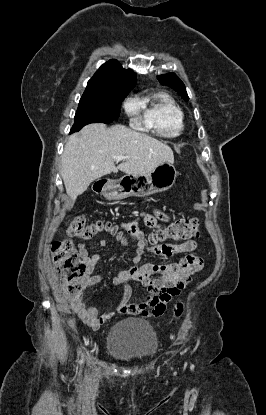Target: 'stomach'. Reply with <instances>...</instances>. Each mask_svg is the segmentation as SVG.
Listing matches in <instances>:
<instances>
[{
	"label": "stomach",
	"instance_id": "stomach-1",
	"mask_svg": "<svg viewBox=\"0 0 266 415\" xmlns=\"http://www.w3.org/2000/svg\"><path fill=\"white\" fill-rule=\"evenodd\" d=\"M177 172L173 163L164 162L144 175H125L118 181H108L101 194L110 201L125 198L146 197L170 189L176 180Z\"/></svg>",
	"mask_w": 266,
	"mask_h": 415
}]
</instances>
